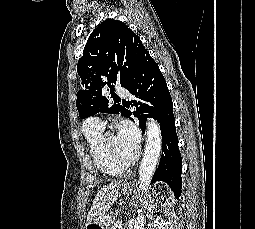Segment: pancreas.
Segmentation results:
<instances>
[{
    "label": "pancreas",
    "instance_id": "pancreas-1",
    "mask_svg": "<svg viewBox=\"0 0 255 229\" xmlns=\"http://www.w3.org/2000/svg\"><path fill=\"white\" fill-rule=\"evenodd\" d=\"M117 224H118V222H117V221H114V222L112 223V226H111L110 229H117Z\"/></svg>",
    "mask_w": 255,
    "mask_h": 229
}]
</instances>
